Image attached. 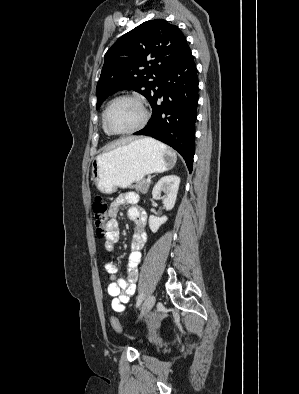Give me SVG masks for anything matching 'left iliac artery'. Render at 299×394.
Returning <instances> with one entry per match:
<instances>
[{
    "label": "left iliac artery",
    "instance_id": "obj_1",
    "mask_svg": "<svg viewBox=\"0 0 299 394\" xmlns=\"http://www.w3.org/2000/svg\"><path fill=\"white\" fill-rule=\"evenodd\" d=\"M142 301H143V294H140L138 299H137V305L136 306L139 307L140 304L142 303Z\"/></svg>",
    "mask_w": 299,
    "mask_h": 394
}]
</instances>
